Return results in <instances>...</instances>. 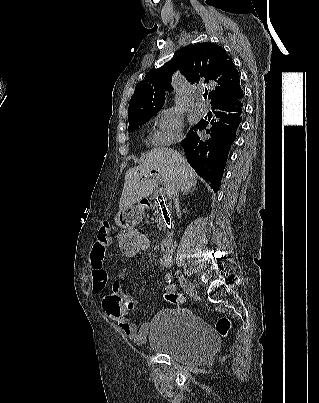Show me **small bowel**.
I'll return each instance as SVG.
<instances>
[{"instance_id":"1","label":"small bowel","mask_w":319,"mask_h":403,"mask_svg":"<svg viewBox=\"0 0 319 403\" xmlns=\"http://www.w3.org/2000/svg\"><path fill=\"white\" fill-rule=\"evenodd\" d=\"M110 226L104 224L99 231L98 237L93 245L90 254V265L93 278V290L96 293L102 292L107 286V273L103 266L104 254L110 244ZM121 235V234H120ZM149 241V240H148ZM162 267H168L171 264V257L163 254L160 260ZM124 272L120 273L118 279L109 285L108 295H101V310H104L108 317L116 321L120 329L136 344L146 342L150 331L149 324H143L140 327L132 320L131 311L137 305V299L134 296L120 295L122 279ZM171 286H167V291H172Z\"/></svg>"}]
</instances>
